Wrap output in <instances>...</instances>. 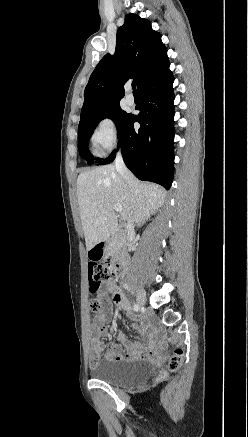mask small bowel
Segmentation results:
<instances>
[{
	"instance_id": "small-bowel-1",
	"label": "small bowel",
	"mask_w": 248,
	"mask_h": 437,
	"mask_svg": "<svg viewBox=\"0 0 248 437\" xmlns=\"http://www.w3.org/2000/svg\"><path fill=\"white\" fill-rule=\"evenodd\" d=\"M97 297L95 298L106 310L110 307L109 295L113 296L116 305L126 311L130 310L129 302L124 293L119 290L114 280H109L105 285H99ZM109 320L107 313L95 317L90 332L92 353L90 357L91 365L95 366L99 357L104 353L105 358L115 361H128L135 358H147L155 352L154 335L149 330L147 321L141 319L138 324H133L134 329H138L144 337V342H130L121 333L116 334V339L121 343L110 344L106 349L101 335L107 333L106 323Z\"/></svg>"
}]
</instances>
